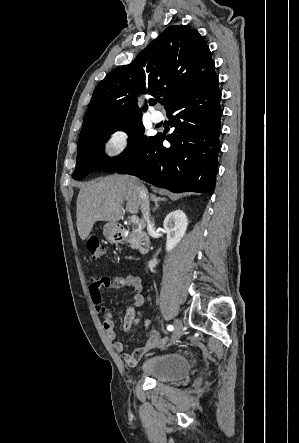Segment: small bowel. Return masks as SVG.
Returning a JSON list of instances; mask_svg holds the SVG:
<instances>
[{
    "label": "small bowel",
    "mask_w": 299,
    "mask_h": 443,
    "mask_svg": "<svg viewBox=\"0 0 299 443\" xmlns=\"http://www.w3.org/2000/svg\"><path fill=\"white\" fill-rule=\"evenodd\" d=\"M133 288L135 295L132 304L128 305L123 318V330L128 333L140 320L141 316L136 312V307L144 304L143 283L141 278L134 274L127 276H103L93 279L89 284V294L96 311L103 316V327L110 340L113 341L114 350L122 355V359L128 366H134L137 361L148 351L154 348L166 346L167 337L161 336L157 330L150 329V316L144 319L145 342L132 352H124V343L116 340V332L112 320V312L104 301V291L108 289Z\"/></svg>",
    "instance_id": "small-bowel-1"
}]
</instances>
